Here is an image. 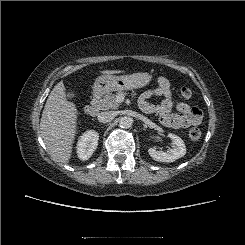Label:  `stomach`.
<instances>
[{"label": "stomach", "mask_w": 245, "mask_h": 245, "mask_svg": "<svg viewBox=\"0 0 245 245\" xmlns=\"http://www.w3.org/2000/svg\"><path fill=\"white\" fill-rule=\"evenodd\" d=\"M152 80L148 73H133L130 75H102L99 76L93 85L97 94H104L110 91L138 89L147 86Z\"/></svg>", "instance_id": "stomach-1"}]
</instances>
